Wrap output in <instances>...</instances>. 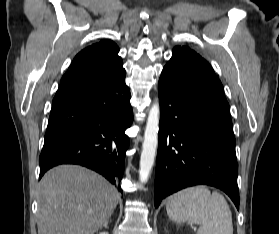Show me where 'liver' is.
Returning <instances> with one entry per match:
<instances>
[{
    "label": "liver",
    "mask_w": 279,
    "mask_h": 234,
    "mask_svg": "<svg viewBox=\"0 0 279 234\" xmlns=\"http://www.w3.org/2000/svg\"><path fill=\"white\" fill-rule=\"evenodd\" d=\"M118 200L116 188L97 173L76 165L55 167L40 181L38 234H94Z\"/></svg>",
    "instance_id": "liver-1"
}]
</instances>
